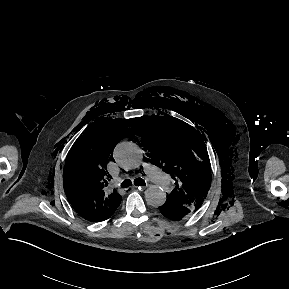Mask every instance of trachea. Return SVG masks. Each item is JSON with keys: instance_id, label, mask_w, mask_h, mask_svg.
Returning a JSON list of instances; mask_svg holds the SVG:
<instances>
[{"instance_id": "trachea-1", "label": "trachea", "mask_w": 289, "mask_h": 289, "mask_svg": "<svg viewBox=\"0 0 289 289\" xmlns=\"http://www.w3.org/2000/svg\"><path fill=\"white\" fill-rule=\"evenodd\" d=\"M134 184L137 186H145V181L142 178H136L134 180ZM132 185V181L130 179H125L122 183H121V187L122 188H128L129 186Z\"/></svg>"}]
</instances>
